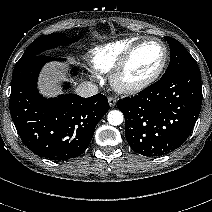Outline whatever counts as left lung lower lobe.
<instances>
[{"instance_id": "0a47b994", "label": "left lung lower lobe", "mask_w": 212, "mask_h": 212, "mask_svg": "<svg viewBox=\"0 0 212 212\" xmlns=\"http://www.w3.org/2000/svg\"><path fill=\"white\" fill-rule=\"evenodd\" d=\"M201 103V73L198 67H191L119 100L117 106L125 116L130 147L144 156H162L186 141Z\"/></svg>"}]
</instances>
